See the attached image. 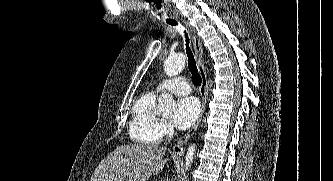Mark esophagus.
<instances>
[{"label": "esophagus", "mask_w": 333, "mask_h": 181, "mask_svg": "<svg viewBox=\"0 0 333 181\" xmlns=\"http://www.w3.org/2000/svg\"><path fill=\"white\" fill-rule=\"evenodd\" d=\"M184 24L186 26V28L188 29L192 42H193V46H194V52H195V60H196V64L198 67V71L199 74L201 76V87H200V94H201V98H202V107H201V113L200 116L198 118V120L196 121V123L193 125V127L184 135L182 136L178 142L177 145L178 146H183L185 143L188 142V140L194 135V133L196 132L203 113L205 111L206 108V104H207V99H208V83H207V74H206V69L204 67V63H203V48H202V42L200 40V38L198 37V35L196 34L194 28L187 22L184 21Z\"/></svg>", "instance_id": "esophagus-1"}]
</instances>
